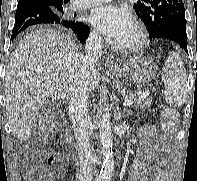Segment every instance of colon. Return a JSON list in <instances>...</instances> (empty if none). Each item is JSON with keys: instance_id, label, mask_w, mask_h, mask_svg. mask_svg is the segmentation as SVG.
<instances>
[{"instance_id": "colon-1", "label": "colon", "mask_w": 197, "mask_h": 181, "mask_svg": "<svg viewBox=\"0 0 197 181\" xmlns=\"http://www.w3.org/2000/svg\"><path fill=\"white\" fill-rule=\"evenodd\" d=\"M164 128L167 132H174L177 128L179 114L176 109L164 107L162 109ZM49 164L58 168L64 164V158L60 155H52ZM23 172L29 181H51L50 174L45 168L42 156L39 152L30 150L23 162Z\"/></svg>"}]
</instances>
